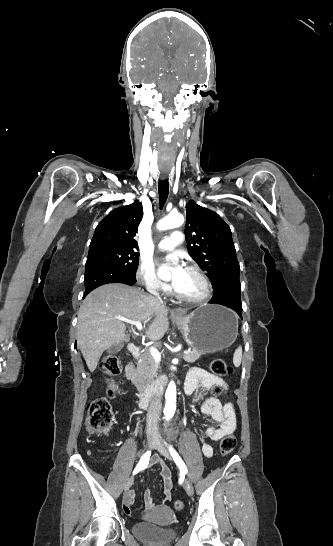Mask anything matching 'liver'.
Segmentation results:
<instances>
[{
    "instance_id": "6515ba94",
    "label": "liver",
    "mask_w": 333,
    "mask_h": 546,
    "mask_svg": "<svg viewBox=\"0 0 333 546\" xmlns=\"http://www.w3.org/2000/svg\"><path fill=\"white\" fill-rule=\"evenodd\" d=\"M119 318L143 322L151 341L162 339L169 329L168 309L153 296L122 283L98 287L83 301L77 324V343L91 372L105 350L128 340Z\"/></svg>"
}]
</instances>
